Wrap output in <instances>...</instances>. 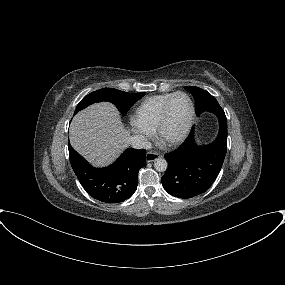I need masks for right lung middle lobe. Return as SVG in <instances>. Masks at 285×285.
<instances>
[{"instance_id":"obj_1","label":"right lung middle lobe","mask_w":285,"mask_h":285,"mask_svg":"<svg viewBox=\"0 0 285 285\" xmlns=\"http://www.w3.org/2000/svg\"><path fill=\"white\" fill-rule=\"evenodd\" d=\"M144 95V92L127 93L114 88H103L85 96L77 105L74 114L90 104L109 101L113 103L123 115H125L130 107Z\"/></svg>"}]
</instances>
